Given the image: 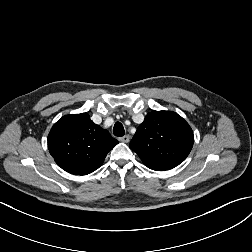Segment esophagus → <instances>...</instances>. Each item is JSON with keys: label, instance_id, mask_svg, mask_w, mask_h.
Instances as JSON below:
<instances>
[{"label": "esophagus", "instance_id": "34e87169", "mask_svg": "<svg viewBox=\"0 0 252 252\" xmlns=\"http://www.w3.org/2000/svg\"><path fill=\"white\" fill-rule=\"evenodd\" d=\"M119 140L121 142L128 143L130 141V136L129 135H125L123 137H120Z\"/></svg>", "mask_w": 252, "mask_h": 252}]
</instances>
